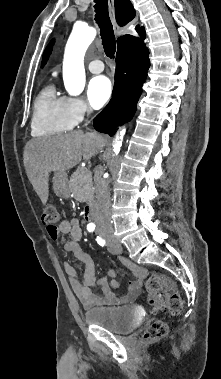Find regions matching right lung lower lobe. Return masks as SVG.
Here are the masks:
<instances>
[{
    "label": "right lung lower lobe",
    "mask_w": 221,
    "mask_h": 379,
    "mask_svg": "<svg viewBox=\"0 0 221 379\" xmlns=\"http://www.w3.org/2000/svg\"><path fill=\"white\" fill-rule=\"evenodd\" d=\"M137 32L145 38L144 29ZM149 67V51L141 39L127 35L118 41L112 99L94 119L97 131L113 136L117 126L133 117Z\"/></svg>",
    "instance_id": "right-lung-lower-lobe-1"
}]
</instances>
